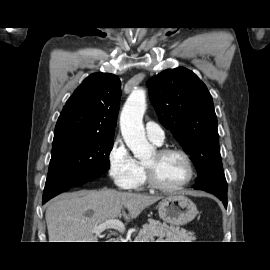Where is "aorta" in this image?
I'll return each instance as SVG.
<instances>
[{
    "instance_id": "762f6f07",
    "label": "aorta",
    "mask_w": 270,
    "mask_h": 270,
    "mask_svg": "<svg viewBox=\"0 0 270 270\" xmlns=\"http://www.w3.org/2000/svg\"><path fill=\"white\" fill-rule=\"evenodd\" d=\"M146 110V93L143 89L134 90L128 97L121 115L120 128L126 145L137 159H146L154 151L145 136L143 116Z\"/></svg>"
}]
</instances>
